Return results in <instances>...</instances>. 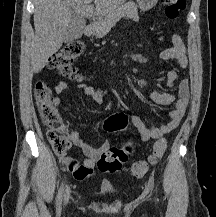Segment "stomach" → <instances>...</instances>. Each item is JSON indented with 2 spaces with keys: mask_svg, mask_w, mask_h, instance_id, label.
<instances>
[{
  "mask_svg": "<svg viewBox=\"0 0 216 217\" xmlns=\"http://www.w3.org/2000/svg\"><path fill=\"white\" fill-rule=\"evenodd\" d=\"M158 0H137V4L141 11L145 12L152 9Z\"/></svg>",
  "mask_w": 216,
  "mask_h": 217,
  "instance_id": "obj_1",
  "label": "stomach"
}]
</instances>
